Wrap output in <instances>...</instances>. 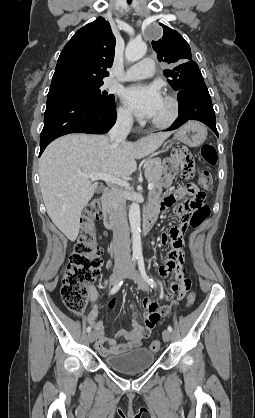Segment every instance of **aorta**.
Segmentation results:
<instances>
[{
  "instance_id": "762f6f07",
  "label": "aorta",
  "mask_w": 255,
  "mask_h": 418,
  "mask_svg": "<svg viewBox=\"0 0 255 418\" xmlns=\"http://www.w3.org/2000/svg\"><path fill=\"white\" fill-rule=\"evenodd\" d=\"M147 51V45L144 42L131 41L125 50V57L129 62H135L141 59ZM140 207L138 203L133 202L129 209V222L133 239V255H142V244L140 235Z\"/></svg>"
}]
</instances>
